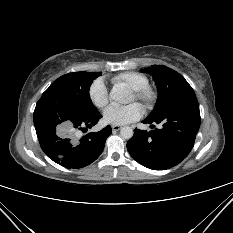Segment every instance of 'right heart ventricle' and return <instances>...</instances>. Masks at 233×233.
Segmentation results:
<instances>
[{
	"label": "right heart ventricle",
	"instance_id": "1",
	"mask_svg": "<svg viewBox=\"0 0 233 233\" xmlns=\"http://www.w3.org/2000/svg\"><path fill=\"white\" fill-rule=\"evenodd\" d=\"M112 82L124 83L131 89H137L149 83L146 75L135 71L119 73L112 78Z\"/></svg>",
	"mask_w": 233,
	"mask_h": 233
}]
</instances>
